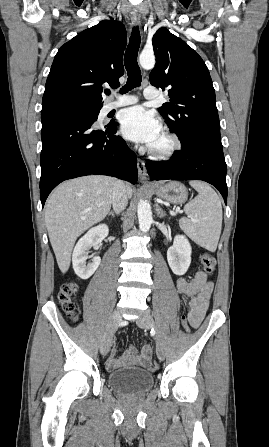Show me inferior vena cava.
Here are the masks:
<instances>
[{
  "instance_id": "1",
  "label": "inferior vena cava",
  "mask_w": 269,
  "mask_h": 447,
  "mask_svg": "<svg viewBox=\"0 0 269 447\" xmlns=\"http://www.w3.org/2000/svg\"><path fill=\"white\" fill-rule=\"evenodd\" d=\"M127 204L128 198L125 184L122 180H115L112 196V206L114 212H116V214H118V212H122V210H125Z\"/></svg>"
}]
</instances>
